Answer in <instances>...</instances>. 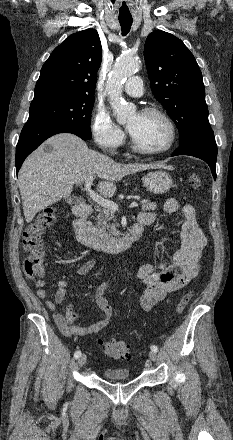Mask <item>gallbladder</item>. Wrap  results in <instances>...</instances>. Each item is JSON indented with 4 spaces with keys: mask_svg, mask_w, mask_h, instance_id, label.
I'll return each mask as SVG.
<instances>
[{
    "mask_svg": "<svg viewBox=\"0 0 233 440\" xmlns=\"http://www.w3.org/2000/svg\"><path fill=\"white\" fill-rule=\"evenodd\" d=\"M65 201L69 204H74L78 201V198L76 196H67L65 197Z\"/></svg>",
    "mask_w": 233,
    "mask_h": 440,
    "instance_id": "1",
    "label": "gallbladder"
}]
</instances>
